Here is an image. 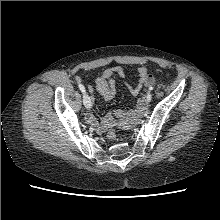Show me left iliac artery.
<instances>
[{"label":"left iliac artery","mask_w":220,"mask_h":220,"mask_svg":"<svg viewBox=\"0 0 220 220\" xmlns=\"http://www.w3.org/2000/svg\"><path fill=\"white\" fill-rule=\"evenodd\" d=\"M149 90H150V91H151V90H153V87H152V86H150V87H149ZM149 100H151V99H149Z\"/></svg>","instance_id":"44dca946"}]
</instances>
